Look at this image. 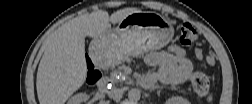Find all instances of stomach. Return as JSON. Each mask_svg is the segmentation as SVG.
Segmentation results:
<instances>
[{
  "label": "stomach",
  "instance_id": "stomach-1",
  "mask_svg": "<svg viewBox=\"0 0 252 104\" xmlns=\"http://www.w3.org/2000/svg\"><path fill=\"white\" fill-rule=\"evenodd\" d=\"M173 34L172 23L162 15L139 11L128 15L115 29L96 37L93 45L96 56L113 65L127 57L163 48Z\"/></svg>",
  "mask_w": 252,
  "mask_h": 104
}]
</instances>
